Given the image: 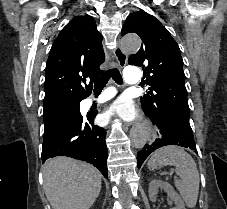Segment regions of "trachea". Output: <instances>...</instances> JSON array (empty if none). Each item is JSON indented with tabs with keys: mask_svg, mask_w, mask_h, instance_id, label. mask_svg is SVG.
I'll return each mask as SVG.
<instances>
[{
	"mask_svg": "<svg viewBox=\"0 0 227 209\" xmlns=\"http://www.w3.org/2000/svg\"><path fill=\"white\" fill-rule=\"evenodd\" d=\"M112 77V79L119 85L123 83L121 73L118 69H110L107 70L101 77L95 80L94 82V92H100L106 86L108 80Z\"/></svg>",
	"mask_w": 227,
	"mask_h": 209,
	"instance_id": "trachea-1",
	"label": "trachea"
}]
</instances>
